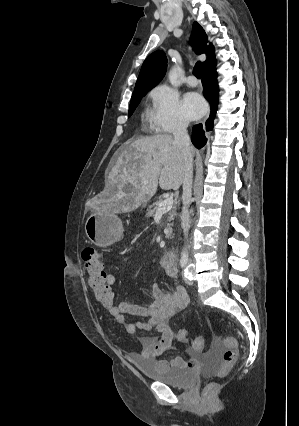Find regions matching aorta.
I'll return each instance as SVG.
<instances>
[{
    "label": "aorta",
    "instance_id": "1",
    "mask_svg": "<svg viewBox=\"0 0 299 426\" xmlns=\"http://www.w3.org/2000/svg\"><path fill=\"white\" fill-rule=\"evenodd\" d=\"M178 72H179V67L174 66V67H172V69L170 70V72L168 74V80H169L170 84L174 87H177L179 85ZM181 260H183V261L188 260V252H187L186 249H184L182 254H181Z\"/></svg>",
    "mask_w": 299,
    "mask_h": 426
}]
</instances>
